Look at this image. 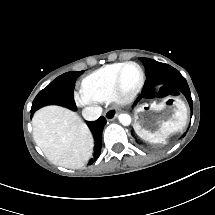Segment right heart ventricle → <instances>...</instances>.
Masks as SVG:
<instances>
[{
	"label": "right heart ventricle",
	"instance_id": "e07e8e85",
	"mask_svg": "<svg viewBox=\"0 0 215 215\" xmlns=\"http://www.w3.org/2000/svg\"><path fill=\"white\" fill-rule=\"evenodd\" d=\"M121 63L104 65L89 74L83 81V88L90 99L104 102L110 95L115 84V72L120 70Z\"/></svg>",
	"mask_w": 215,
	"mask_h": 215
}]
</instances>
